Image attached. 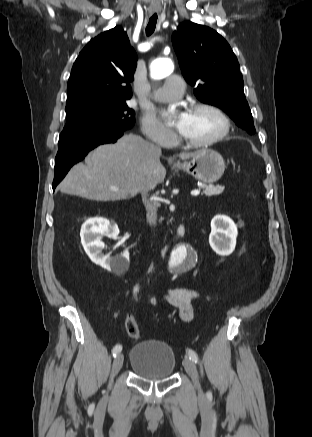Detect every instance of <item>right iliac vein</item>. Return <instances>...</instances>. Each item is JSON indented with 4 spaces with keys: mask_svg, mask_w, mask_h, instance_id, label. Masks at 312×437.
<instances>
[{
    "mask_svg": "<svg viewBox=\"0 0 312 437\" xmlns=\"http://www.w3.org/2000/svg\"><path fill=\"white\" fill-rule=\"evenodd\" d=\"M123 361H124V356L123 354H118L114 361H113V365H112V372H111V376L114 377L122 368L123 365Z\"/></svg>",
    "mask_w": 312,
    "mask_h": 437,
    "instance_id": "right-iliac-vein-1",
    "label": "right iliac vein"
}]
</instances>
